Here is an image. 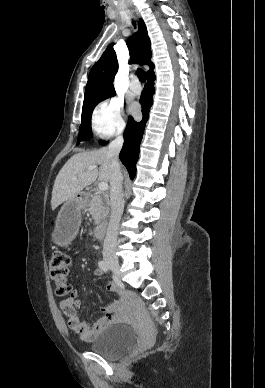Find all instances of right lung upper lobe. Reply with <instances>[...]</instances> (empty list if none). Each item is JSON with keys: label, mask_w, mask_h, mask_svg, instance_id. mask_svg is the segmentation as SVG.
<instances>
[{"label": "right lung upper lobe", "mask_w": 265, "mask_h": 388, "mask_svg": "<svg viewBox=\"0 0 265 388\" xmlns=\"http://www.w3.org/2000/svg\"><path fill=\"white\" fill-rule=\"evenodd\" d=\"M127 46L130 52V64L142 60L144 64L150 67L147 74L152 72L154 64L151 62V42L143 20L140 19L139 30L128 39ZM117 70L118 62L116 53L113 49V43H111L89 73L84 101L97 94L114 90L112 82Z\"/></svg>", "instance_id": "right-lung-upper-lobe-1"}]
</instances>
